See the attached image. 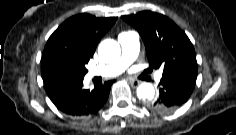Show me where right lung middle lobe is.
Listing matches in <instances>:
<instances>
[{
    "label": "right lung middle lobe",
    "instance_id": "obj_1",
    "mask_svg": "<svg viewBox=\"0 0 236 135\" xmlns=\"http://www.w3.org/2000/svg\"><path fill=\"white\" fill-rule=\"evenodd\" d=\"M89 59L75 56L62 50H51L42 55L41 69L59 70L77 75H85L88 70L85 65Z\"/></svg>",
    "mask_w": 236,
    "mask_h": 135
}]
</instances>
